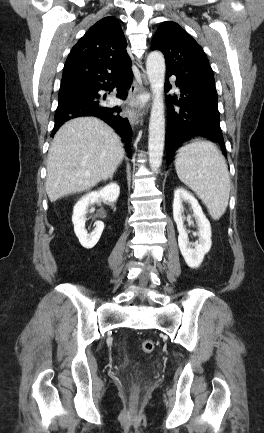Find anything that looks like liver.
<instances>
[{"mask_svg":"<svg viewBox=\"0 0 264 433\" xmlns=\"http://www.w3.org/2000/svg\"><path fill=\"white\" fill-rule=\"evenodd\" d=\"M115 131L94 117L65 123L48 153L46 191L51 202L91 189L114 174L124 158Z\"/></svg>","mask_w":264,"mask_h":433,"instance_id":"6515ba94","label":"liver"}]
</instances>
